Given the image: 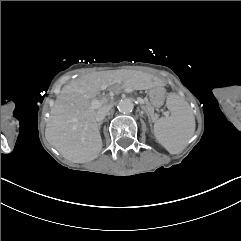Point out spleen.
<instances>
[{
  "label": "spleen",
  "mask_w": 241,
  "mask_h": 241,
  "mask_svg": "<svg viewBox=\"0 0 241 241\" xmlns=\"http://www.w3.org/2000/svg\"><path fill=\"white\" fill-rule=\"evenodd\" d=\"M170 117L159 118L154 123L157 142L170 154L180 153L195 131V121L190 106L176 94L168 97Z\"/></svg>",
  "instance_id": "1"
}]
</instances>
